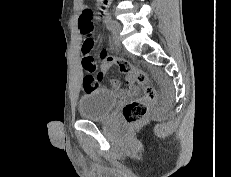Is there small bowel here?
Instances as JSON below:
<instances>
[{
	"mask_svg": "<svg viewBox=\"0 0 231 177\" xmlns=\"http://www.w3.org/2000/svg\"><path fill=\"white\" fill-rule=\"evenodd\" d=\"M97 1L100 3H103V4L106 3V0H97ZM86 10H88V8L84 4H82V13L85 12ZM111 67H112V64L110 62H108L106 60L102 62L101 66H100V71L97 74V77H98V80L100 83L105 79V77H106V75H107V73ZM126 82H127V84H129L131 86L132 89H134V83L135 82H134L132 77L127 76ZM110 84H111V88H113V89H118L120 87V82L118 80H115V79L110 80Z\"/></svg>",
	"mask_w": 231,
	"mask_h": 177,
	"instance_id": "obj_1",
	"label": "small bowel"
}]
</instances>
